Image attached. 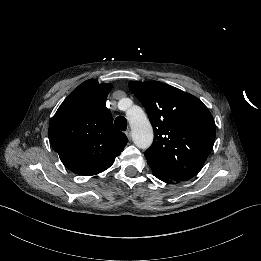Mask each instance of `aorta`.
I'll list each match as a JSON object with an SVG mask.
<instances>
[{"instance_id":"aorta-1","label":"aorta","mask_w":261,"mask_h":261,"mask_svg":"<svg viewBox=\"0 0 261 261\" xmlns=\"http://www.w3.org/2000/svg\"><path fill=\"white\" fill-rule=\"evenodd\" d=\"M126 104H132V100H124ZM126 119L131 127L132 140L140 149H147L153 142V128L145 112L140 106L131 105L126 110Z\"/></svg>"}]
</instances>
